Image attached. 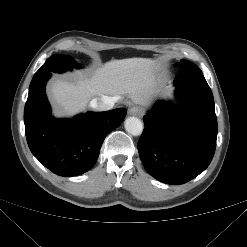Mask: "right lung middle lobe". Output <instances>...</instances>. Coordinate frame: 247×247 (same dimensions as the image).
Listing matches in <instances>:
<instances>
[{
    "instance_id": "right-lung-middle-lobe-1",
    "label": "right lung middle lobe",
    "mask_w": 247,
    "mask_h": 247,
    "mask_svg": "<svg viewBox=\"0 0 247 247\" xmlns=\"http://www.w3.org/2000/svg\"><path fill=\"white\" fill-rule=\"evenodd\" d=\"M80 65L70 56L53 55L43 66L35 73V75H49L51 73H62L73 68H79Z\"/></svg>"
}]
</instances>
